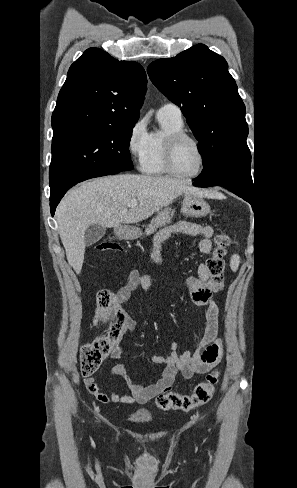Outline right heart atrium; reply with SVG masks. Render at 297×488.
Returning <instances> with one entry per match:
<instances>
[{
	"label": "right heart atrium",
	"instance_id": "1",
	"mask_svg": "<svg viewBox=\"0 0 297 488\" xmlns=\"http://www.w3.org/2000/svg\"><path fill=\"white\" fill-rule=\"evenodd\" d=\"M148 137L144 119H138L131 126L127 136V151L132 159L141 166L147 154Z\"/></svg>",
	"mask_w": 297,
	"mask_h": 488
}]
</instances>
